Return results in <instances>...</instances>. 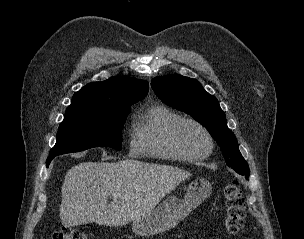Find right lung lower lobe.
Segmentation results:
<instances>
[{"label":"right lung lower lobe","mask_w":304,"mask_h":239,"mask_svg":"<svg viewBox=\"0 0 304 239\" xmlns=\"http://www.w3.org/2000/svg\"><path fill=\"white\" fill-rule=\"evenodd\" d=\"M54 157H55V156H49V157L47 158V161H46L47 167H48L49 163L52 161V159H53Z\"/></svg>","instance_id":"obj_1"}]
</instances>
